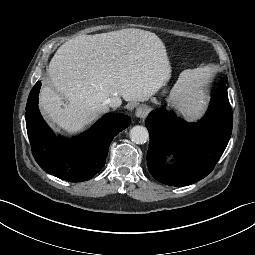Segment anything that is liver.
Listing matches in <instances>:
<instances>
[{"instance_id": "liver-1", "label": "liver", "mask_w": 255, "mask_h": 255, "mask_svg": "<svg viewBox=\"0 0 255 255\" xmlns=\"http://www.w3.org/2000/svg\"><path fill=\"white\" fill-rule=\"evenodd\" d=\"M48 72L41 110L53 125L76 133L109 111L105 102L110 97L147 101L169 81L171 66L156 34L127 28L65 42Z\"/></svg>"}]
</instances>
